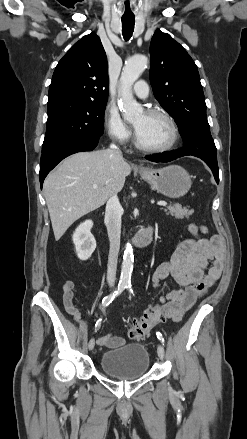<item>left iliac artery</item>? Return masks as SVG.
Masks as SVG:
<instances>
[{
	"label": "left iliac artery",
	"mask_w": 247,
	"mask_h": 439,
	"mask_svg": "<svg viewBox=\"0 0 247 439\" xmlns=\"http://www.w3.org/2000/svg\"><path fill=\"white\" fill-rule=\"evenodd\" d=\"M126 288L129 290L130 293H132L134 295L131 284H128ZM156 335H157V338L164 344V338H163L162 334L160 332H157Z\"/></svg>",
	"instance_id": "obj_1"
}]
</instances>
